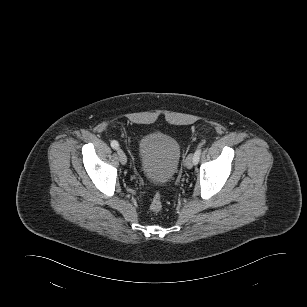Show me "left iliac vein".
<instances>
[{
    "label": "left iliac vein",
    "mask_w": 307,
    "mask_h": 307,
    "mask_svg": "<svg viewBox=\"0 0 307 307\" xmlns=\"http://www.w3.org/2000/svg\"><path fill=\"white\" fill-rule=\"evenodd\" d=\"M193 157H194V155H192V154H189L188 156H187V158H186V160H185V167L187 168V169H191L192 167H193Z\"/></svg>",
    "instance_id": "1"
}]
</instances>
